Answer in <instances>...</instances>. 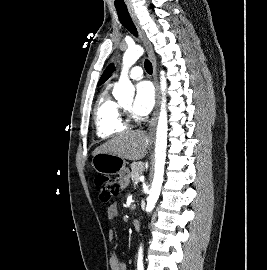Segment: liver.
Returning <instances> with one entry per match:
<instances>
[{"mask_svg": "<svg viewBox=\"0 0 267 270\" xmlns=\"http://www.w3.org/2000/svg\"><path fill=\"white\" fill-rule=\"evenodd\" d=\"M146 147L147 136L145 132L140 130L127 131L97 147L93 156L98 153H109L127 160H140L145 157Z\"/></svg>", "mask_w": 267, "mask_h": 270, "instance_id": "obj_1", "label": "liver"}]
</instances>
